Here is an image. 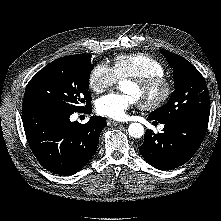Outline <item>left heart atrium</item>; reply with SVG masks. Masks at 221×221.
<instances>
[{
    "instance_id": "1",
    "label": "left heart atrium",
    "mask_w": 221,
    "mask_h": 221,
    "mask_svg": "<svg viewBox=\"0 0 221 221\" xmlns=\"http://www.w3.org/2000/svg\"><path fill=\"white\" fill-rule=\"evenodd\" d=\"M136 99L131 95L108 94L97 100L96 110L100 115L115 120H123L128 110L135 104Z\"/></svg>"
}]
</instances>
